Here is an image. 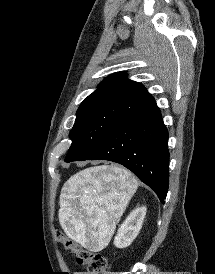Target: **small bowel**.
Wrapping results in <instances>:
<instances>
[{
    "instance_id": "obj_1",
    "label": "small bowel",
    "mask_w": 215,
    "mask_h": 274,
    "mask_svg": "<svg viewBox=\"0 0 215 274\" xmlns=\"http://www.w3.org/2000/svg\"><path fill=\"white\" fill-rule=\"evenodd\" d=\"M75 274H87L86 272H76Z\"/></svg>"
}]
</instances>
